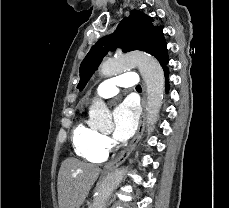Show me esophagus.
Wrapping results in <instances>:
<instances>
[{
	"label": "esophagus",
	"mask_w": 229,
	"mask_h": 208,
	"mask_svg": "<svg viewBox=\"0 0 229 208\" xmlns=\"http://www.w3.org/2000/svg\"><path fill=\"white\" fill-rule=\"evenodd\" d=\"M144 89H145V87H144ZM141 105H142V109H143L142 115L140 117L139 125H138V128H137V131H136L134 138L131 140V142L129 143L127 148H125V150L117 158L110 161L109 163H107L104 166V168H103L104 173L112 172L116 168H118V166H120L128 158V156L134 150V148L137 145V143L139 142V140L142 138V135H143L144 130H145L146 118H147V102H146L145 93L143 94Z\"/></svg>",
	"instance_id": "1"
}]
</instances>
